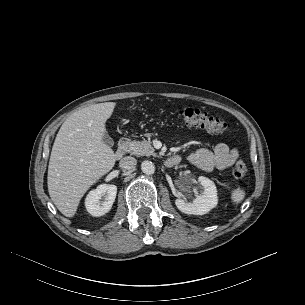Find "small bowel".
<instances>
[{"instance_id":"1","label":"small bowel","mask_w":305,"mask_h":305,"mask_svg":"<svg viewBox=\"0 0 305 305\" xmlns=\"http://www.w3.org/2000/svg\"><path fill=\"white\" fill-rule=\"evenodd\" d=\"M175 156L179 157L178 155ZM238 156L239 152L236 148H230L225 143H219L213 149L200 148L191 151L187 155V161L203 171L211 172L224 170L232 166Z\"/></svg>"}]
</instances>
